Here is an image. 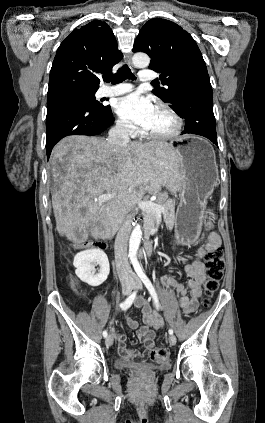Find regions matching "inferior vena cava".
Segmentation results:
<instances>
[{"label": "inferior vena cava", "instance_id": "inferior-vena-cava-1", "mask_svg": "<svg viewBox=\"0 0 265 423\" xmlns=\"http://www.w3.org/2000/svg\"><path fill=\"white\" fill-rule=\"evenodd\" d=\"M130 126L128 123L118 121L114 127L109 130L108 143L117 146H127ZM131 218L127 217L121 224L117 233L114 245L116 270L120 280L132 278L133 272L128 262L127 247L128 239L131 233Z\"/></svg>", "mask_w": 265, "mask_h": 423}]
</instances>
